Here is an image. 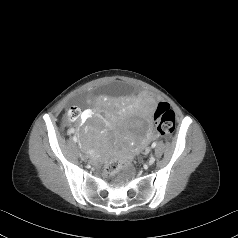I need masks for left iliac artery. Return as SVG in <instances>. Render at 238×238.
<instances>
[{
  "instance_id": "obj_1",
  "label": "left iliac artery",
  "mask_w": 238,
  "mask_h": 238,
  "mask_svg": "<svg viewBox=\"0 0 238 238\" xmlns=\"http://www.w3.org/2000/svg\"><path fill=\"white\" fill-rule=\"evenodd\" d=\"M156 145H157V143H156V142H154V143H152L151 147H152V148H155V147H156Z\"/></svg>"
}]
</instances>
